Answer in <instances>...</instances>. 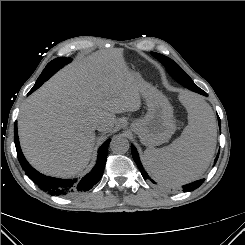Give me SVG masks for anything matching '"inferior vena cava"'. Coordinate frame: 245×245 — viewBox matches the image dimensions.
Returning a JSON list of instances; mask_svg holds the SVG:
<instances>
[{
    "label": "inferior vena cava",
    "instance_id": "obj_1",
    "mask_svg": "<svg viewBox=\"0 0 245 245\" xmlns=\"http://www.w3.org/2000/svg\"><path fill=\"white\" fill-rule=\"evenodd\" d=\"M103 126H104L103 123H98V124L96 125V128H97V129H101V128H103Z\"/></svg>",
    "mask_w": 245,
    "mask_h": 245
}]
</instances>
